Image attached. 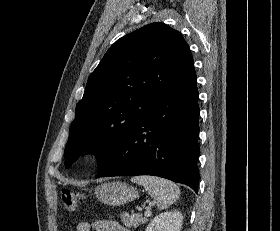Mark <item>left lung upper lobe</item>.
I'll list each match as a JSON object with an SVG mask.
<instances>
[{
	"instance_id": "5c2ea615",
	"label": "left lung upper lobe",
	"mask_w": 280,
	"mask_h": 231,
	"mask_svg": "<svg viewBox=\"0 0 280 231\" xmlns=\"http://www.w3.org/2000/svg\"><path fill=\"white\" fill-rule=\"evenodd\" d=\"M189 46L164 23L117 40L90 75L65 147V166L86 153L102 166L115 145L169 89L194 73Z\"/></svg>"
}]
</instances>
